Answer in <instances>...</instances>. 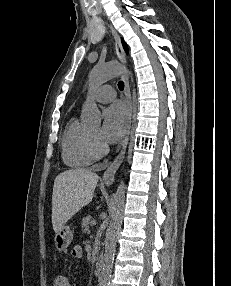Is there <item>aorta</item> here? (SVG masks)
<instances>
[{
  "instance_id": "762f6f07",
  "label": "aorta",
  "mask_w": 231,
  "mask_h": 286,
  "mask_svg": "<svg viewBox=\"0 0 231 286\" xmlns=\"http://www.w3.org/2000/svg\"><path fill=\"white\" fill-rule=\"evenodd\" d=\"M121 74H131L117 63H107L96 65L89 75L90 87L96 88L107 80L117 77ZM82 121L90 126H99L101 123V113L90 97L87 98L82 110ZM125 183L121 181L114 195V201L111 211V221L106 232L105 251L100 275V286H109L114 253L116 249L117 236L121 229L123 220V211L125 206Z\"/></svg>"
}]
</instances>
